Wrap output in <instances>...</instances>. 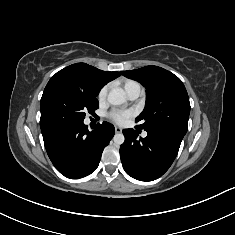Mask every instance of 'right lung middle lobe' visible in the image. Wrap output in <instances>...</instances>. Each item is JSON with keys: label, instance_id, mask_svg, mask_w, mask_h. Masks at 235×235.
Instances as JSON below:
<instances>
[{"label": "right lung middle lobe", "instance_id": "right-lung-middle-lobe-1", "mask_svg": "<svg viewBox=\"0 0 235 235\" xmlns=\"http://www.w3.org/2000/svg\"><path fill=\"white\" fill-rule=\"evenodd\" d=\"M90 94L63 77H52L41 98L40 125L83 122L86 112L94 114L99 107Z\"/></svg>", "mask_w": 235, "mask_h": 235}]
</instances>
